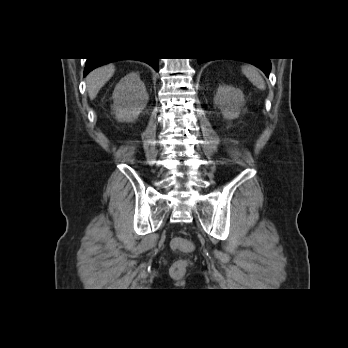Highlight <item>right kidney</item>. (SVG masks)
<instances>
[{"instance_id": "right-kidney-1", "label": "right kidney", "mask_w": 348, "mask_h": 348, "mask_svg": "<svg viewBox=\"0 0 348 348\" xmlns=\"http://www.w3.org/2000/svg\"><path fill=\"white\" fill-rule=\"evenodd\" d=\"M115 118L119 122H134L147 105L149 96L137 72L124 76L112 94Z\"/></svg>"}]
</instances>
